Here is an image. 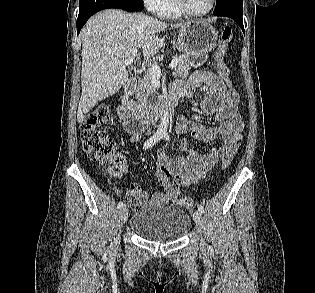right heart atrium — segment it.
<instances>
[{
  "instance_id": "d8ad5b80",
  "label": "right heart atrium",
  "mask_w": 315,
  "mask_h": 293,
  "mask_svg": "<svg viewBox=\"0 0 315 293\" xmlns=\"http://www.w3.org/2000/svg\"><path fill=\"white\" fill-rule=\"evenodd\" d=\"M164 0H143L145 6L152 12H158Z\"/></svg>"
}]
</instances>
